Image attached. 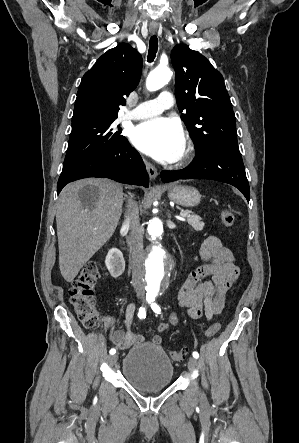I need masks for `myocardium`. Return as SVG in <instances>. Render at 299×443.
Returning a JSON list of instances; mask_svg holds the SVG:
<instances>
[{
	"mask_svg": "<svg viewBox=\"0 0 299 443\" xmlns=\"http://www.w3.org/2000/svg\"><path fill=\"white\" fill-rule=\"evenodd\" d=\"M193 150H194V147H193L192 142L189 139H187L184 144L183 152H182L181 156L177 159L176 164L183 165L187 161H189V159L192 156Z\"/></svg>",
	"mask_w": 299,
	"mask_h": 443,
	"instance_id": "obj_1",
	"label": "myocardium"
}]
</instances>
